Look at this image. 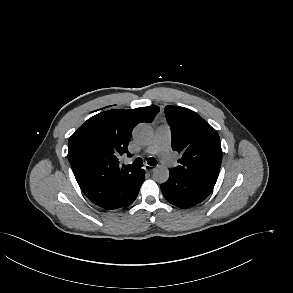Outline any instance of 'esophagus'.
Here are the masks:
<instances>
[{
  "label": "esophagus",
  "instance_id": "esophagus-1",
  "mask_svg": "<svg viewBox=\"0 0 293 293\" xmlns=\"http://www.w3.org/2000/svg\"><path fill=\"white\" fill-rule=\"evenodd\" d=\"M144 170L147 171V172H153L155 170V167L150 166V165H145Z\"/></svg>",
  "mask_w": 293,
  "mask_h": 293
}]
</instances>
